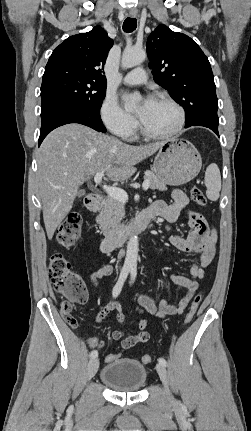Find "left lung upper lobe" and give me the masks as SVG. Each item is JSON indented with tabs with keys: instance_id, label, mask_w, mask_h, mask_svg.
Instances as JSON below:
<instances>
[{
	"instance_id": "obj_1",
	"label": "left lung upper lobe",
	"mask_w": 251,
	"mask_h": 431,
	"mask_svg": "<svg viewBox=\"0 0 251 431\" xmlns=\"http://www.w3.org/2000/svg\"><path fill=\"white\" fill-rule=\"evenodd\" d=\"M146 46L153 79L183 106L185 125L203 120L219 122L212 69L200 47L163 24L149 35Z\"/></svg>"
}]
</instances>
